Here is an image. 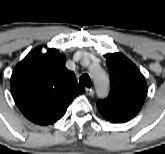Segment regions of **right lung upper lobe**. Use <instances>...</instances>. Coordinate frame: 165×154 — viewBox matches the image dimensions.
I'll return each mask as SVG.
<instances>
[{
    "label": "right lung upper lobe",
    "mask_w": 165,
    "mask_h": 154,
    "mask_svg": "<svg viewBox=\"0 0 165 154\" xmlns=\"http://www.w3.org/2000/svg\"><path fill=\"white\" fill-rule=\"evenodd\" d=\"M36 47L16 65L10 80L12 97L26 118L38 116L71 103L84 87L65 66V57L56 49Z\"/></svg>",
    "instance_id": "right-lung-upper-lobe-1"
}]
</instances>
